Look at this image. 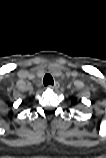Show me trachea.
<instances>
[{
  "mask_svg": "<svg viewBox=\"0 0 106 158\" xmlns=\"http://www.w3.org/2000/svg\"><path fill=\"white\" fill-rule=\"evenodd\" d=\"M43 83H44L45 86L53 85L54 84V80H53V78H52V76L50 74H46L44 76Z\"/></svg>",
  "mask_w": 106,
  "mask_h": 158,
  "instance_id": "1",
  "label": "trachea"
}]
</instances>
